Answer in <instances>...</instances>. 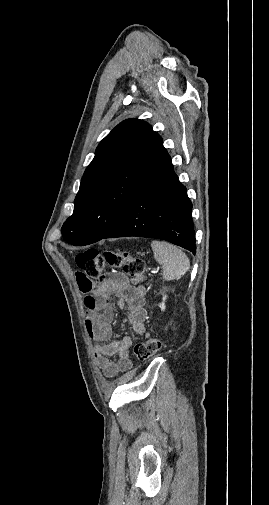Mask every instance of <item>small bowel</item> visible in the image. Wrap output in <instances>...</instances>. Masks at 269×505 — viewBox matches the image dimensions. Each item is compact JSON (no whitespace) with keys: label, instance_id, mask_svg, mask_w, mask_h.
Wrapping results in <instances>:
<instances>
[{"label":"small bowel","instance_id":"small-bowel-1","mask_svg":"<svg viewBox=\"0 0 269 505\" xmlns=\"http://www.w3.org/2000/svg\"><path fill=\"white\" fill-rule=\"evenodd\" d=\"M84 268L76 271V288L85 298L87 311L85 327L93 340L95 362L108 378L127 372L132 367L129 337L110 341L113 335V308L109 299L118 297L119 305L126 310L127 319L132 330L137 335L148 336L146 330V311L144 309L145 290L142 287L131 286L127 277L120 272H109L100 281H91ZM118 356L117 361L110 357Z\"/></svg>","mask_w":269,"mask_h":505}]
</instances>
